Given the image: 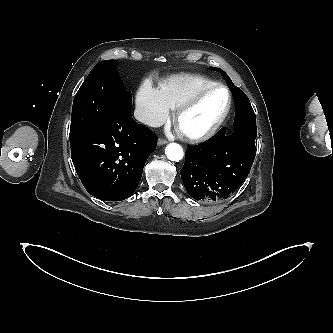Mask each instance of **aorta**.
I'll return each instance as SVG.
<instances>
[{"label":"aorta","mask_w":333,"mask_h":333,"mask_svg":"<svg viewBox=\"0 0 333 333\" xmlns=\"http://www.w3.org/2000/svg\"><path fill=\"white\" fill-rule=\"evenodd\" d=\"M165 154L169 160L176 162L180 161L184 155L182 147L177 143L168 144L165 149Z\"/></svg>","instance_id":"aorta-1"}]
</instances>
